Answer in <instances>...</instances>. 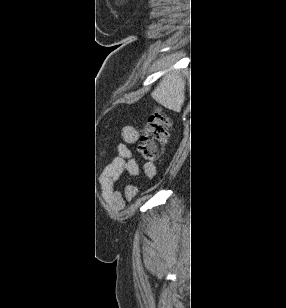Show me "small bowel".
I'll return each instance as SVG.
<instances>
[{
	"label": "small bowel",
	"mask_w": 286,
	"mask_h": 308,
	"mask_svg": "<svg viewBox=\"0 0 286 308\" xmlns=\"http://www.w3.org/2000/svg\"><path fill=\"white\" fill-rule=\"evenodd\" d=\"M123 143L118 145V156L115 158L110 166L112 172V181L115 183L127 172L130 176H137L140 172V167L137 161L130 157V150L128 144H133L139 137V130L134 126L127 125L122 129ZM145 175L149 178L154 177L155 167L152 164H145L143 166ZM135 191L130 189L126 192V198H132Z\"/></svg>",
	"instance_id": "c3829d8e"
}]
</instances>
